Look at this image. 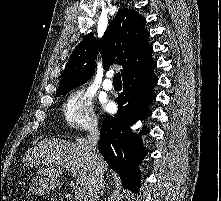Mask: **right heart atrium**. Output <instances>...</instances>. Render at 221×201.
Segmentation results:
<instances>
[{
	"label": "right heart atrium",
	"instance_id": "d8ad5b80",
	"mask_svg": "<svg viewBox=\"0 0 221 201\" xmlns=\"http://www.w3.org/2000/svg\"><path fill=\"white\" fill-rule=\"evenodd\" d=\"M63 119L71 129H87L97 124L92 95L84 88L71 91L62 106Z\"/></svg>",
	"mask_w": 221,
	"mask_h": 201
}]
</instances>
